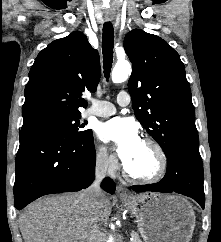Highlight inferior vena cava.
Returning a JSON list of instances; mask_svg holds the SVG:
<instances>
[{
    "mask_svg": "<svg viewBox=\"0 0 221 242\" xmlns=\"http://www.w3.org/2000/svg\"><path fill=\"white\" fill-rule=\"evenodd\" d=\"M107 161L106 160H100L95 169V180L94 182L83 191L82 193V202L83 205L88 212V214L93 215L95 209L99 205V199L103 195L100 188L101 181L106 176L107 171ZM98 233V226L95 224L93 226V229L88 237V242H92Z\"/></svg>",
    "mask_w": 221,
    "mask_h": 242,
    "instance_id": "inferior-vena-cava-1",
    "label": "inferior vena cava"
}]
</instances>
